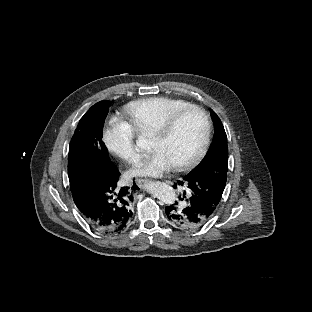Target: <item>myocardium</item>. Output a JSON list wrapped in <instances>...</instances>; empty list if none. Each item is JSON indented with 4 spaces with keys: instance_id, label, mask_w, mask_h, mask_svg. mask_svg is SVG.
Here are the masks:
<instances>
[{
    "instance_id": "f54148a6",
    "label": "myocardium",
    "mask_w": 312,
    "mask_h": 312,
    "mask_svg": "<svg viewBox=\"0 0 312 312\" xmlns=\"http://www.w3.org/2000/svg\"><path fill=\"white\" fill-rule=\"evenodd\" d=\"M195 118L201 130V148L200 151L194 153L192 157H188L186 161L179 163L173 162L170 164L169 169L171 172H186L190 167L195 168L199 162L205 160L206 156L211 151L213 126L209 122V116L206 112L200 108L195 107H183L175 111L173 114L166 119L165 123L162 124L161 128L158 129L157 135L159 138L164 139L168 133L179 123L182 119Z\"/></svg>"
}]
</instances>
